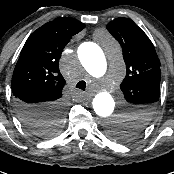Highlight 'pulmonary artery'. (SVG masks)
I'll return each mask as SVG.
<instances>
[{
    "mask_svg": "<svg viewBox=\"0 0 174 174\" xmlns=\"http://www.w3.org/2000/svg\"><path fill=\"white\" fill-rule=\"evenodd\" d=\"M103 88L108 90L110 87H109L108 84H104V85H103Z\"/></svg>",
    "mask_w": 174,
    "mask_h": 174,
    "instance_id": "1",
    "label": "pulmonary artery"
}]
</instances>
